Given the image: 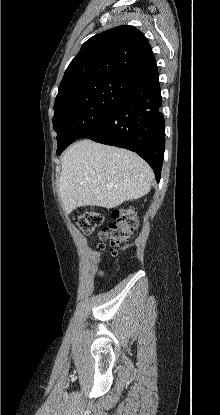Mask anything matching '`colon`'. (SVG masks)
<instances>
[{"mask_svg":"<svg viewBox=\"0 0 220 415\" xmlns=\"http://www.w3.org/2000/svg\"><path fill=\"white\" fill-rule=\"evenodd\" d=\"M112 221L98 233V239L102 241L99 246L104 248L103 241H109L110 248L127 242L137 229V219L133 210L129 208H117L112 212ZM76 227L84 234H92L104 221V216L92 209H86L74 219Z\"/></svg>","mask_w":220,"mask_h":415,"instance_id":"colon-1","label":"colon"}]
</instances>
